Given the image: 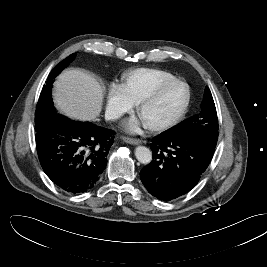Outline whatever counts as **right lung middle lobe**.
Returning <instances> with one entry per match:
<instances>
[{
	"label": "right lung middle lobe",
	"instance_id": "dd1d6c3e",
	"mask_svg": "<svg viewBox=\"0 0 267 267\" xmlns=\"http://www.w3.org/2000/svg\"><path fill=\"white\" fill-rule=\"evenodd\" d=\"M76 53L71 54L65 60L60 62L55 66V68L50 72L46 80V84L43 86L41 95L36 107L35 113V129L39 124L46 120L51 114H55V108L53 107L51 88L53 87V82L55 78L61 73V71L69 65L70 62L74 60Z\"/></svg>",
	"mask_w": 267,
	"mask_h": 267
}]
</instances>
